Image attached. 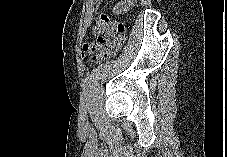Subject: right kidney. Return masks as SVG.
<instances>
[{"label":"right kidney","instance_id":"right-kidney-1","mask_svg":"<svg viewBox=\"0 0 227 157\" xmlns=\"http://www.w3.org/2000/svg\"><path fill=\"white\" fill-rule=\"evenodd\" d=\"M125 2H131V1H125ZM114 11H116V13H119V12L121 13L122 11H126V7H123L122 5L118 4L117 6H115Z\"/></svg>","mask_w":227,"mask_h":157}]
</instances>
